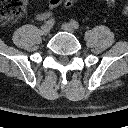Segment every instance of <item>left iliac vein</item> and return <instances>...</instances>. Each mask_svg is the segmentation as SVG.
Returning <instances> with one entry per match:
<instances>
[{
    "label": "left iliac vein",
    "instance_id": "obj_1",
    "mask_svg": "<svg viewBox=\"0 0 128 128\" xmlns=\"http://www.w3.org/2000/svg\"><path fill=\"white\" fill-rule=\"evenodd\" d=\"M61 28L64 30V31H67V32H70V33H74L75 30L74 28L71 26V24L69 23H64L62 24Z\"/></svg>",
    "mask_w": 128,
    "mask_h": 128
}]
</instances>
